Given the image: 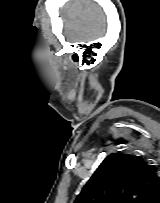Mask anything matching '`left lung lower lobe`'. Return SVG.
Returning <instances> with one entry per match:
<instances>
[{
    "instance_id": "1",
    "label": "left lung lower lobe",
    "mask_w": 160,
    "mask_h": 203,
    "mask_svg": "<svg viewBox=\"0 0 160 203\" xmlns=\"http://www.w3.org/2000/svg\"><path fill=\"white\" fill-rule=\"evenodd\" d=\"M152 203H160V192Z\"/></svg>"
}]
</instances>
